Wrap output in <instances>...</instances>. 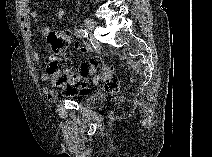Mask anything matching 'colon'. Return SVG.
Segmentation results:
<instances>
[{
	"instance_id": "colon-1",
	"label": "colon",
	"mask_w": 212,
	"mask_h": 157,
	"mask_svg": "<svg viewBox=\"0 0 212 157\" xmlns=\"http://www.w3.org/2000/svg\"><path fill=\"white\" fill-rule=\"evenodd\" d=\"M48 39L51 42L54 56L48 62L47 72L52 76L54 85L64 93L86 94L97 88L109 93L118 91V78L105 62L100 60L93 67H86L75 72L70 59L61 56L71 41V34L68 30L50 33Z\"/></svg>"
}]
</instances>
